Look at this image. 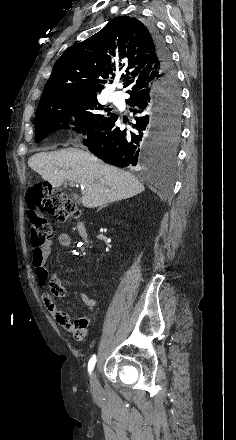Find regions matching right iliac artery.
Returning a JSON list of instances; mask_svg holds the SVG:
<instances>
[{
  "mask_svg": "<svg viewBox=\"0 0 236 440\" xmlns=\"http://www.w3.org/2000/svg\"><path fill=\"white\" fill-rule=\"evenodd\" d=\"M95 363H96V356L94 355V356H92V358L89 360V363H88V371H89V373L92 372V370H93V368L95 366Z\"/></svg>",
  "mask_w": 236,
  "mask_h": 440,
  "instance_id": "obj_1",
  "label": "right iliac artery"
}]
</instances>
